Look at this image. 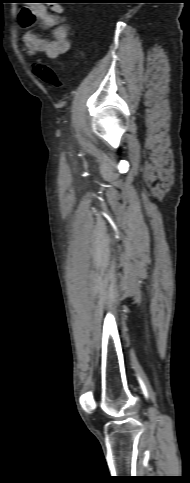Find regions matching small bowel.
I'll return each mask as SVG.
<instances>
[{"instance_id":"1","label":"small bowel","mask_w":190,"mask_h":483,"mask_svg":"<svg viewBox=\"0 0 190 483\" xmlns=\"http://www.w3.org/2000/svg\"><path fill=\"white\" fill-rule=\"evenodd\" d=\"M34 3L36 4L21 9L18 15L19 22L24 27H30L38 21L42 27L50 31L51 38L48 39L27 31L23 35L24 49L29 55L41 53L49 59H59L71 47V28L62 21L63 7L60 5L47 6L42 2Z\"/></svg>"}]
</instances>
